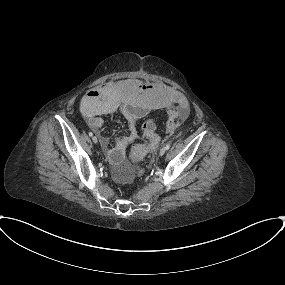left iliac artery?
<instances>
[{
  "label": "left iliac artery",
  "instance_id": "left-iliac-artery-1",
  "mask_svg": "<svg viewBox=\"0 0 285 285\" xmlns=\"http://www.w3.org/2000/svg\"><path fill=\"white\" fill-rule=\"evenodd\" d=\"M165 148H166V150H168V149L170 148V143H167V144L165 145Z\"/></svg>",
  "mask_w": 285,
  "mask_h": 285
}]
</instances>
